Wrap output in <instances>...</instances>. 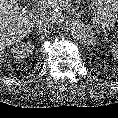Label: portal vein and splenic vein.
Wrapping results in <instances>:
<instances>
[{
  "label": "portal vein and splenic vein",
  "mask_w": 118,
  "mask_h": 118,
  "mask_svg": "<svg viewBox=\"0 0 118 118\" xmlns=\"http://www.w3.org/2000/svg\"><path fill=\"white\" fill-rule=\"evenodd\" d=\"M52 2H53V0H48L47 3H48V4H52Z\"/></svg>",
  "instance_id": "1"
}]
</instances>
